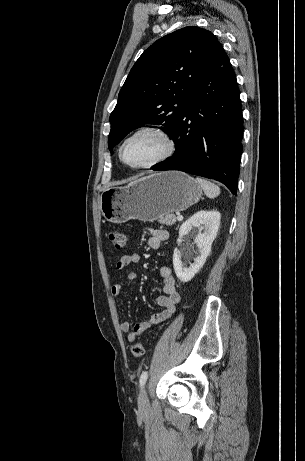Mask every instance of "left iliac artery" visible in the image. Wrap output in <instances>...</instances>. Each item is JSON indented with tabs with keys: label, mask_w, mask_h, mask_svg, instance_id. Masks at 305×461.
<instances>
[{
	"label": "left iliac artery",
	"mask_w": 305,
	"mask_h": 461,
	"mask_svg": "<svg viewBox=\"0 0 305 461\" xmlns=\"http://www.w3.org/2000/svg\"><path fill=\"white\" fill-rule=\"evenodd\" d=\"M147 378H148V372L147 371L142 372L140 379H139V383L141 387L145 385Z\"/></svg>",
	"instance_id": "44dca946"
}]
</instances>
